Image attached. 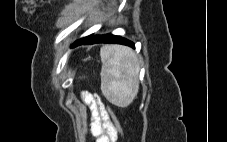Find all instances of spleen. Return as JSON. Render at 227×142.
I'll use <instances>...</instances> for the list:
<instances>
[{"label":"spleen","instance_id":"3e777b00","mask_svg":"<svg viewBox=\"0 0 227 142\" xmlns=\"http://www.w3.org/2000/svg\"><path fill=\"white\" fill-rule=\"evenodd\" d=\"M101 90L109 102L119 107L130 105L139 90V59L121 45H105L100 50Z\"/></svg>","mask_w":227,"mask_h":142}]
</instances>
